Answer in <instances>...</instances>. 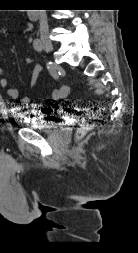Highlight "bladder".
<instances>
[{"label": "bladder", "instance_id": "1", "mask_svg": "<svg viewBox=\"0 0 138 253\" xmlns=\"http://www.w3.org/2000/svg\"><path fill=\"white\" fill-rule=\"evenodd\" d=\"M36 105H34V108ZM49 109H45L48 111ZM48 113L43 111H21L19 113V119L24 126L37 131H50L57 127V124L53 121L47 120Z\"/></svg>", "mask_w": 138, "mask_h": 253}]
</instances>
